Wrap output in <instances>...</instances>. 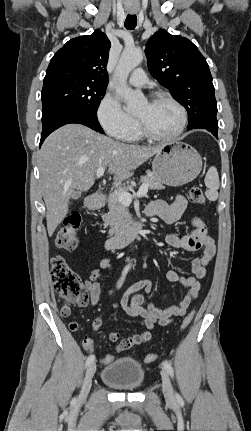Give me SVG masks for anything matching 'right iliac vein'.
I'll list each match as a JSON object with an SVG mask.
<instances>
[{"label": "right iliac vein", "instance_id": "1", "mask_svg": "<svg viewBox=\"0 0 251 431\" xmlns=\"http://www.w3.org/2000/svg\"><path fill=\"white\" fill-rule=\"evenodd\" d=\"M95 371H96L95 363L90 364L85 373V377L83 380V386L79 397L80 401H84L86 399L92 385V379L95 374Z\"/></svg>", "mask_w": 251, "mask_h": 431}]
</instances>
